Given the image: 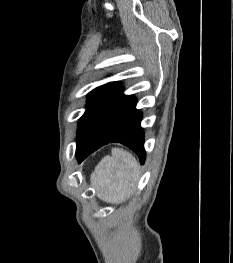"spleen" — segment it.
Instances as JSON below:
<instances>
[{
	"label": "spleen",
	"instance_id": "3e777b00",
	"mask_svg": "<svg viewBox=\"0 0 233 263\" xmlns=\"http://www.w3.org/2000/svg\"><path fill=\"white\" fill-rule=\"evenodd\" d=\"M139 177V164L129 152L113 148L91 175L97 196L107 203H121L134 191Z\"/></svg>",
	"mask_w": 233,
	"mask_h": 263
}]
</instances>
